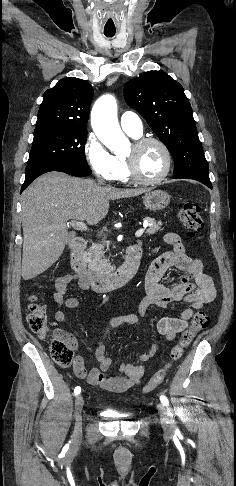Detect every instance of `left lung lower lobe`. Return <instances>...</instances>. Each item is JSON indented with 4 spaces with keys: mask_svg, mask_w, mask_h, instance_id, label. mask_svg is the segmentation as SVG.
Listing matches in <instances>:
<instances>
[{
    "mask_svg": "<svg viewBox=\"0 0 236 486\" xmlns=\"http://www.w3.org/2000/svg\"><path fill=\"white\" fill-rule=\"evenodd\" d=\"M174 179H178V178H174ZM202 183H204L206 186H208L209 188H211V189H212V184H211V182H202Z\"/></svg>",
    "mask_w": 236,
    "mask_h": 486,
    "instance_id": "1",
    "label": "left lung lower lobe"
}]
</instances>
